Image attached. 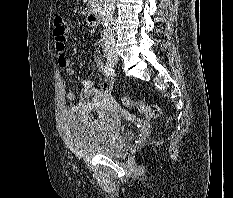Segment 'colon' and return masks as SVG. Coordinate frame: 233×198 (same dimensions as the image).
Segmentation results:
<instances>
[{"label":"colon","mask_w":233,"mask_h":198,"mask_svg":"<svg viewBox=\"0 0 233 198\" xmlns=\"http://www.w3.org/2000/svg\"><path fill=\"white\" fill-rule=\"evenodd\" d=\"M54 37L64 38L67 33V25L61 17H56L54 20ZM123 104L128 108H135L141 114L149 118H157L160 115V108L157 105L146 104L131 96L123 97Z\"/></svg>","instance_id":"5ec220e1"}]
</instances>
